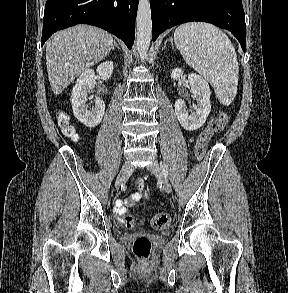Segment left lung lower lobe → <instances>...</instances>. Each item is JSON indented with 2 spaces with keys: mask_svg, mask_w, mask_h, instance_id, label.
Here are the masks:
<instances>
[{
  "mask_svg": "<svg viewBox=\"0 0 288 293\" xmlns=\"http://www.w3.org/2000/svg\"><path fill=\"white\" fill-rule=\"evenodd\" d=\"M152 39L175 25L202 21L229 30L245 52L242 0H150Z\"/></svg>",
  "mask_w": 288,
  "mask_h": 293,
  "instance_id": "obj_1",
  "label": "left lung lower lobe"
}]
</instances>
